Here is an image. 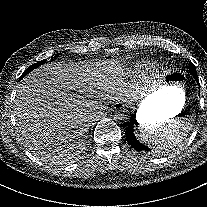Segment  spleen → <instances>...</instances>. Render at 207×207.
<instances>
[{
  "label": "spleen",
  "instance_id": "obj_1",
  "mask_svg": "<svg viewBox=\"0 0 207 207\" xmlns=\"http://www.w3.org/2000/svg\"><path fill=\"white\" fill-rule=\"evenodd\" d=\"M194 125V118L185 115L181 119L173 118L163 123H149L138 126L134 129L133 136L144 146L162 151L181 145L189 137L190 129Z\"/></svg>",
  "mask_w": 207,
  "mask_h": 207
}]
</instances>
